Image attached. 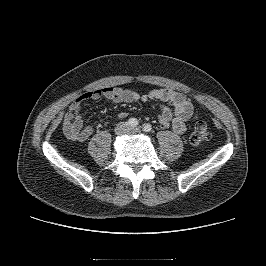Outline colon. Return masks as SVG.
Instances as JSON below:
<instances>
[{
	"mask_svg": "<svg viewBox=\"0 0 266 266\" xmlns=\"http://www.w3.org/2000/svg\"><path fill=\"white\" fill-rule=\"evenodd\" d=\"M211 138V133L207 124L199 121L195 124L194 129L190 135V142L193 145H202Z\"/></svg>",
	"mask_w": 266,
	"mask_h": 266,
	"instance_id": "obj_1",
	"label": "colon"
}]
</instances>
